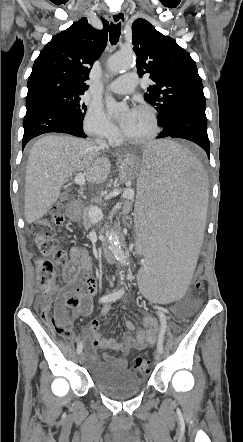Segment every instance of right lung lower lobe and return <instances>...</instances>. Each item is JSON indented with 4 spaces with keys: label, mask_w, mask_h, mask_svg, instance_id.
<instances>
[{
    "label": "right lung lower lobe",
    "mask_w": 243,
    "mask_h": 442,
    "mask_svg": "<svg viewBox=\"0 0 243 442\" xmlns=\"http://www.w3.org/2000/svg\"><path fill=\"white\" fill-rule=\"evenodd\" d=\"M26 108L22 148L29 140L43 133L61 132L86 137L82 123L58 101L49 98H30L26 99Z\"/></svg>",
    "instance_id": "right-lung-lower-lobe-1"
}]
</instances>
